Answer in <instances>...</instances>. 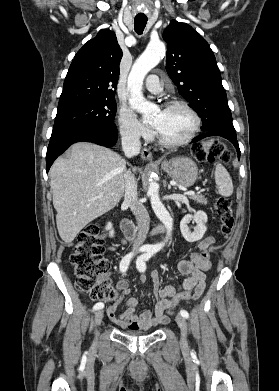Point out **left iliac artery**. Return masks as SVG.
Listing matches in <instances>:
<instances>
[{"mask_svg":"<svg viewBox=\"0 0 279 391\" xmlns=\"http://www.w3.org/2000/svg\"><path fill=\"white\" fill-rule=\"evenodd\" d=\"M154 254V250L147 249L146 253L142 254L136 261V267L140 272H144L146 270V261ZM181 316L184 318H188L189 314L186 310L180 311Z\"/></svg>","mask_w":279,"mask_h":391,"instance_id":"left-iliac-artery-1","label":"left iliac artery"}]
</instances>
